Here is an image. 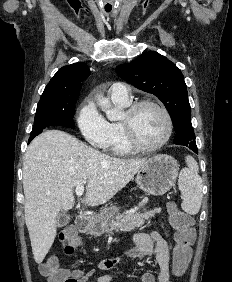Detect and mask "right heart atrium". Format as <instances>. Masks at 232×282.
Returning <instances> with one entry per match:
<instances>
[{
    "label": "right heart atrium",
    "mask_w": 232,
    "mask_h": 282,
    "mask_svg": "<svg viewBox=\"0 0 232 282\" xmlns=\"http://www.w3.org/2000/svg\"><path fill=\"white\" fill-rule=\"evenodd\" d=\"M77 125L84 139L93 147L105 149L109 141V125L96 108L95 104L86 99L77 113Z\"/></svg>",
    "instance_id": "d8ad5b80"
}]
</instances>
